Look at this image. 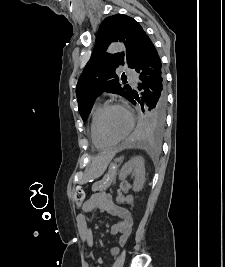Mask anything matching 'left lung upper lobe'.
<instances>
[{
    "label": "left lung upper lobe",
    "mask_w": 225,
    "mask_h": 267,
    "mask_svg": "<svg viewBox=\"0 0 225 267\" xmlns=\"http://www.w3.org/2000/svg\"><path fill=\"white\" fill-rule=\"evenodd\" d=\"M145 36L146 33L140 24L123 14L107 17L101 23L93 53L76 86L79 112L84 121L89 115L96 97L104 91L130 99L131 87L129 85L122 86L115 71L124 64H128L129 68L135 67ZM114 41L123 42L126 46V53L114 55L106 53V48ZM164 123L165 115L155 116L152 110L147 109L146 127L149 132L160 134Z\"/></svg>",
    "instance_id": "1"
}]
</instances>
